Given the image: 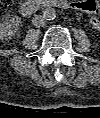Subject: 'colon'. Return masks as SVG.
<instances>
[{
  "label": "colon",
  "instance_id": "obj_1",
  "mask_svg": "<svg viewBox=\"0 0 100 118\" xmlns=\"http://www.w3.org/2000/svg\"><path fill=\"white\" fill-rule=\"evenodd\" d=\"M88 1L86 3H83L82 6H84V8L87 11H90L91 13L94 14V17H92V23L97 25L99 20H98V4L95 0H85ZM14 0H1L0 4H1V8L3 11H7L11 8V6L13 5Z\"/></svg>",
  "mask_w": 100,
  "mask_h": 118
}]
</instances>
